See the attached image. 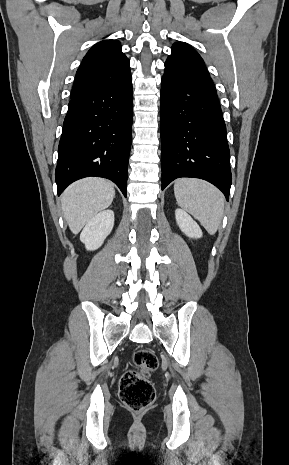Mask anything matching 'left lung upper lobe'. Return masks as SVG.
I'll return each instance as SVG.
<instances>
[{
  "mask_svg": "<svg viewBox=\"0 0 289 465\" xmlns=\"http://www.w3.org/2000/svg\"><path fill=\"white\" fill-rule=\"evenodd\" d=\"M165 71L209 75L200 55L188 44L180 42L173 44L172 53L165 63Z\"/></svg>",
  "mask_w": 289,
  "mask_h": 465,
  "instance_id": "1",
  "label": "left lung upper lobe"
}]
</instances>
